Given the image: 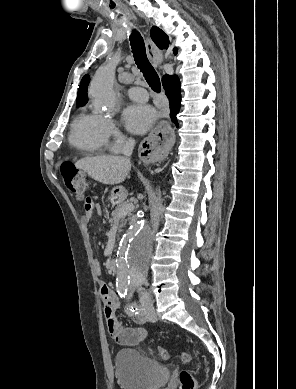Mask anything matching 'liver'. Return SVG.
Here are the masks:
<instances>
[{"mask_svg": "<svg viewBox=\"0 0 296 389\" xmlns=\"http://www.w3.org/2000/svg\"><path fill=\"white\" fill-rule=\"evenodd\" d=\"M75 167L84 170L100 183L115 185L125 180L130 172L131 163L126 157L103 155L82 158L75 163Z\"/></svg>", "mask_w": 296, "mask_h": 389, "instance_id": "1", "label": "liver"}]
</instances>
